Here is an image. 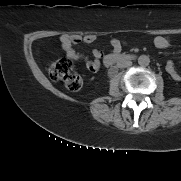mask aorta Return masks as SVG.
<instances>
[{"label":"aorta","instance_id":"1","mask_svg":"<svg viewBox=\"0 0 181 181\" xmlns=\"http://www.w3.org/2000/svg\"><path fill=\"white\" fill-rule=\"evenodd\" d=\"M150 63V58L147 55H141L138 58V64L142 67L148 66Z\"/></svg>","mask_w":181,"mask_h":181}]
</instances>
